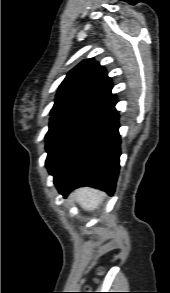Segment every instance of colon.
Returning <instances> with one entry per match:
<instances>
[{"instance_id": "obj_1", "label": "colon", "mask_w": 170, "mask_h": 293, "mask_svg": "<svg viewBox=\"0 0 170 293\" xmlns=\"http://www.w3.org/2000/svg\"><path fill=\"white\" fill-rule=\"evenodd\" d=\"M104 271V267L103 266H98L97 267V272L98 273H102ZM80 293H90V292H80Z\"/></svg>"}]
</instances>
